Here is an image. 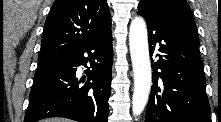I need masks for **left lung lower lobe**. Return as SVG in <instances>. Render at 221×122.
Returning a JSON list of instances; mask_svg holds the SVG:
<instances>
[{
  "label": "left lung lower lobe",
  "instance_id": "0a47b994",
  "mask_svg": "<svg viewBox=\"0 0 221 122\" xmlns=\"http://www.w3.org/2000/svg\"><path fill=\"white\" fill-rule=\"evenodd\" d=\"M148 26L153 85L145 122H211L196 24L171 18L153 3L138 5ZM159 70V71H158Z\"/></svg>",
  "mask_w": 221,
  "mask_h": 122
}]
</instances>
